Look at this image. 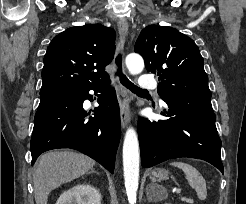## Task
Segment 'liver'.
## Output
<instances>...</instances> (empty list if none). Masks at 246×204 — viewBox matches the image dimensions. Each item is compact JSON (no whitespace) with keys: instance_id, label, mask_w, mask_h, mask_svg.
<instances>
[{"instance_id":"obj_1","label":"liver","mask_w":246,"mask_h":204,"mask_svg":"<svg viewBox=\"0 0 246 204\" xmlns=\"http://www.w3.org/2000/svg\"><path fill=\"white\" fill-rule=\"evenodd\" d=\"M94 165L93 159L74 151H50L41 155L33 173L36 204H47L52 190L80 177Z\"/></svg>"}]
</instances>
